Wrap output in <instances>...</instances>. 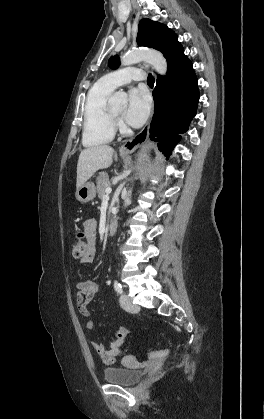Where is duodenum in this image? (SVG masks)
Wrapping results in <instances>:
<instances>
[{"label": "duodenum", "mask_w": 264, "mask_h": 419, "mask_svg": "<svg viewBox=\"0 0 264 419\" xmlns=\"http://www.w3.org/2000/svg\"><path fill=\"white\" fill-rule=\"evenodd\" d=\"M118 222L116 220H111L107 226V233L109 235L114 234L117 231Z\"/></svg>", "instance_id": "obj_1"}]
</instances>
